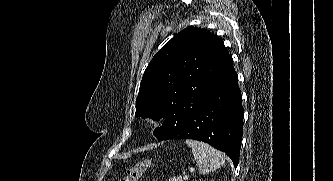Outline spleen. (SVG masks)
<instances>
[{"instance_id":"3e777b00","label":"spleen","mask_w":333,"mask_h":181,"mask_svg":"<svg viewBox=\"0 0 333 181\" xmlns=\"http://www.w3.org/2000/svg\"><path fill=\"white\" fill-rule=\"evenodd\" d=\"M186 144L192 149L201 174H208L225 164L223 154L210 145L196 140H186Z\"/></svg>"}]
</instances>
